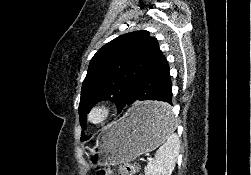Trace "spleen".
I'll return each mask as SVG.
<instances>
[{
  "label": "spleen",
  "mask_w": 251,
  "mask_h": 175,
  "mask_svg": "<svg viewBox=\"0 0 251 175\" xmlns=\"http://www.w3.org/2000/svg\"><path fill=\"white\" fill-rule=\"evenodd\" d=\"M156 121H159L165 139L163 145L157 149L155 159L150 161L145 167L146 175H171L179 155V137L177 133H173L176 127L173 123V115L169 109L160 107L155 111Z\"/></svg>",
  "instance_id": "1"
}]
</instances>
